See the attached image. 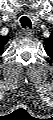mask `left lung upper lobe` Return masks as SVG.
Returning <instances> with one entry per match:
<instances>
[{"label":"left lung upper lobe","mask_w":53,"mask_h":120,"mask_svg":"<svg viewBox=\"0 0 53 120\" xmlns=\"http://www.w3.org/2000/svg\"><path fill=\"white\" fill-rule=\"evenodd\" d=\"M45 47H46L47 53L51 55V52L53 51V42L51 39L45 40Z\"/></svg>","instance_id":"obj_1"}]
</instances>
